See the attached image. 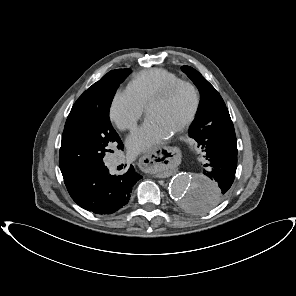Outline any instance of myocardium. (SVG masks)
<instances>
[{
    "instance_id": "1",
    "label": "myocardium",
    "mask_w": 296,
    "mask_h": 296,
    "mask_svg": "<svg viewBox=\"0 0 296 296\" xmlns=\"http://www.w3.org/2000/svg\"><path fill=\"white\" fill-rule=\"evenodd\" d=\"M182 88H187L192 93L193 106H192L191 112L188 115V117L185 119V121L181 125H179L173 131V134L181 133V132L185 131L187 128H189L190 125L196 119V116L198 114L199 107H200V95H199V91H198L197 87L193 83L180 80V81L170 85L169 87H167L165 90H163L161 93L157 94L153 98H151L145 107L146 113L148 114L149 109L152 106L166 102L171 97H173L176 92H178Z\"/></svg>"
}]
</instances>
